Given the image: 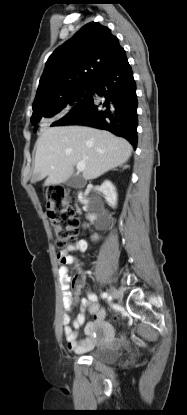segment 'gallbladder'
Here are the masks:
<instances>
[{"instance_id":"1","label":"gallbladder","mask_w":187,"mask_h":415,"mask_svg":"<svg viewBox=\"0 0 187 415\" xmlns=\"http://www.w3.org/2000/svg\"><path fill=\"white\" fill-rule=\"evenodd\" d=\"M65 184H66L68 187H73V188H81V187H83V186H84L85 181H84V179H83L82 177H80V176H71L70 178H68V179L65 181Z\"/></svg>"}]
</instances>
